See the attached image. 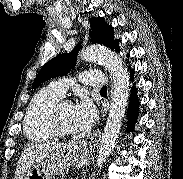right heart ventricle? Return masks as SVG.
Wrapping results in <instances>:
<instances>
[{
  "label": "right heart ventricle",
  "instance_id": "right-heart-ventricle-1",
  "mask_svg": "<svg viewBox=\"0 0 183 179\" xmlns=\"http://www.w3.org/2000/svg\"><path fill=\"white\" fill-rule=\"evenodd\" d=\"M62 98L50 87L39 90L32 98L24 120V133L32 141L44 142L54 137L48 125L52 106Z\"/></svg>",
  "mask_w": 183,
  "mask_h": 179
}]
</instances>
